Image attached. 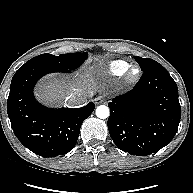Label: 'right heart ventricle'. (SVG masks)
I'll use <instances>...</instances> for the list:
<instances>
[{
	"label": "right heart ventricle",
	"mask_w": 193,
	"mask_h": 193,
	"mask_svg": "<svg viewBox=\"0 0 193 193\" xmlns=\"http://www.w3.org/2000/svg\"><path fill=\"white\" fill-rule=\"evenodd\" d=\"M130 67L129 63L123 60H114L107 67V74L113 77L122 76Z\"/></svg>",
	"instance_id": "e07e8e85"
}]
</instances>
